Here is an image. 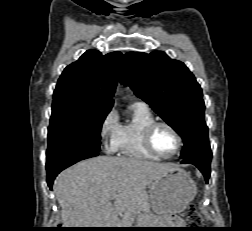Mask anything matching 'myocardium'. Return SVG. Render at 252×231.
<instances>
[{
  "label": "myocardium",
  "instance_id": "f54148a6",
  "mask_svg": "<svg viewBox=\"0 0 252 231\" xmlns=\"http://www.w3.org/2000/svg\"><path fill=\"white\" fill-rule=\"evenodd\" d=\"M159 126H164L168 130H170L171 133L175 136V138L177 140V143H178L177 149L173 154H171L169 156L161 155L153 146V143H152L153 132ZM143 142H144V146L148 150V152H150L152 155H154L158 159H163V160H169V159L176 157L180 153V151L183 147V139H182L181 135L179 134V132L170 123L165 122V121H156L155 120L152 123H150L144 130Z\"/></svg>",
  "mask_w": 252,
  "mask_h": 231
}]
</instances>
